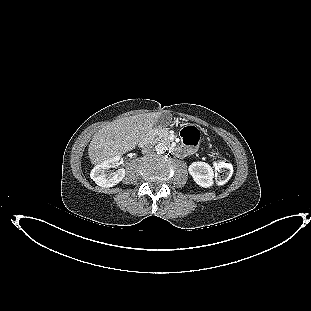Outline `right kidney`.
Wrapping results in <instances>:
<instances>
[{
    "instance_id": "obj_1",
    "label": "right kidney",
    "mask_w": 311,
    "mask_h": 311,
    "mask_svg": "<svg viewBox=\"0 0 311 311\" xmlns=\"http://www.w3.org/2000/svg\"><path fill=\"white\" fill-rule=\"evenodd\" d=\"M119 158V156H115L96 165L90 173L91 179H93L98 186L104 188L113 187L121 182L125 177V169H118L114 173L109 171L110 168L115 167Z\"/></svg>"
}]
</instances>
